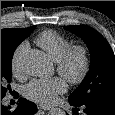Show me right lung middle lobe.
Returning a JSON list of instances; mask_svg holds the SVG:
<instances>
[{"instance_id": "right-lung-middle-lobe-1", "label": "right lung middle lobe", "mask_w": 115, "mask_h": 115, "mask_svg": "<svg viewBox=\"0 0 115 115\" xmlns=\"http://www.w3.org/2000/svg\"><path fill=\"white\" fill-rule=\"evenodd\" d=\"M35 29V27L30 31ZM29 33V34H30ZM18 45H1V97H4L7 90H11L8 83L12 77V57Z\"/></svg>"}]
</instances>
